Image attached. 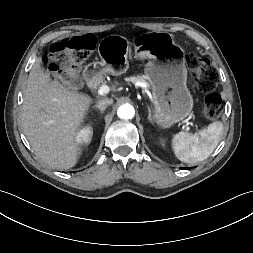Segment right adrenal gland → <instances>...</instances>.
<instances>
[{
	"label": "right adrenal gland",
	"mask_w": 253,
	"mask_h": 253,
	"mask_svg": "<svg viewBox=\"0 0 253 253\" xmlns=\"http://www.w3.org/2000/svg\"><path fill=\"white\" fill-rule=\"evenodd\" d=\"M93 109L99 110L101 114H103V112L105 111L106 107H100V106H93Z\"/></svg>",
	"instance_id": "right-adrenal-gland-1"
}]
</instances>
